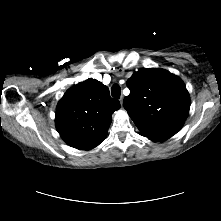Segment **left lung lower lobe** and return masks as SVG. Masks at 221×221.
<instances>
[{
    "label": "left lung lower lobe",
    "instance_id": "0a47b994",
    "mask_svg": "<svg viewBox=\"0 0 221 221\" xmlns=\"http://www.w3.org/2000/svg\"><path fill=\"white\" fill-rule=\"evenodd\" d=\"M148 138V137H147ZM149 140H152V141H159V140H156V139H153V138H148Z\"/></svg>",
    "mask_w": 221,
    "mask_h": 221
}]
</instances>
